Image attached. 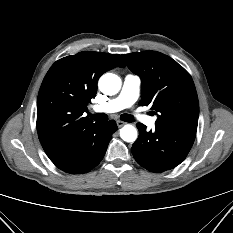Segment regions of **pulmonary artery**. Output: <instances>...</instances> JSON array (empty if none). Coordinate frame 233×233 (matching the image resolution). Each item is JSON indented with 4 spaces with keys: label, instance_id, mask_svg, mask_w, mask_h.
Returning <instances> with one entry per match:
<instances>
[{
    "label": "pulmonary artery",
    "instance_id": "e3ab8cb5",
    "mask_svg": "<svg viewBox=\"0 0 233 233\" xmlns=\"http://www.w3.org/2000/svg\"><path fill=\"white\" fill-rule=\"evenodd\" d=\"M140 86V77L132 74L126 75L120 94L116 98H113L101 105L95 106L94 110L96 112L115 113L131 107L138 99ZM132 117L144 123L148 127H154L156 123L155 117H150L139 113H134Z\"/></svg>",
    "mask_w": 233,
    "mask_h": 233
}]
</instances>
